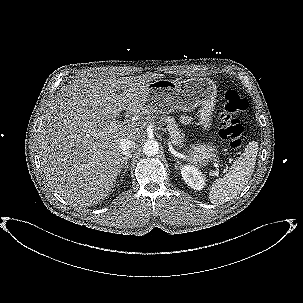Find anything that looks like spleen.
<instances>
[{
  "label": "spleen",
  "mask_w": 303,
  "mask_h": 303,
  "mask_svg": "<svg viewBox=\"0 0 303 303\" xmlns=\"http://www.w3.org/2000/svg\"><path fill=\"white\" fill-rule=\"evenodd\" d=\"M257 153V142L248 143L242 155L230 167L229 172L213 182L209 192L212 204H224L243 190L254 172Z\"/></svg>",
  "instance_id": "3e777b00"
}]
</instances>
